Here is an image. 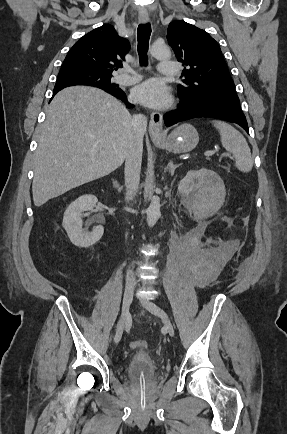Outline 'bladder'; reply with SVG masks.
<instances>
[{
    "instance_id": "bladder-1",
    "label": "bladder",
    "mask_w": 287,
    "mask_h": 434,
    "mask_svg": "<svg viewBox=\"0 0 287 434\" xmlns=\"http://www.w3.org/2000/svg\"><path fill=\"white\" fill-rule=\"evenodd\" d=\"M158 366L151 355L137 353L128 361L124 373L130 379L151 378L157 374Z\"/></svg>"
}]
</instances>
